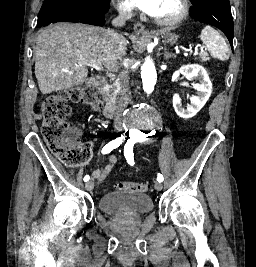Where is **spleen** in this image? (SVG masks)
Returning a JSON list of instances; mask_svg holds the SVG:
<instances>
[{
    "mask_svg": "<svg viewBox=\"0 0 256 267\" xmlns=\"http://www.w3.org/2000/svg\"><path fill=\"white\" fill-rule=\"evenodd\" d=\"M205 48L210 52L212 58H217L221 62L229 60L230 50L221 34L211 28V26H205L200 36Z\"/></svg>",
    "mask_w": 256,
    "mask_h": 267,
    "instance_id": "3e777b00",
    "label": "spleen"
}]
</instances>
